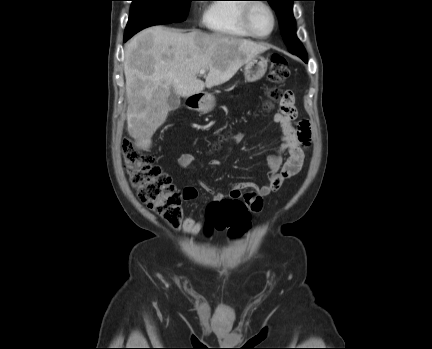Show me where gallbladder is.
<instances>
[{"label":"gallbladder","mask_w":432,"mask_h":349,"mask_svg":"<svg viewBox=\"0 0 432 349\" xmlns=\"http://www.w3.org/2000/svg\"><path fill=\"white\" fill-rule=\"evenodd\" d=\"M167 103L169 106V111H174L180 106V97L176 95L174 92H171L167 98Z\"/></svg>","instance_id":"bac80fb5"}]
</instances>
